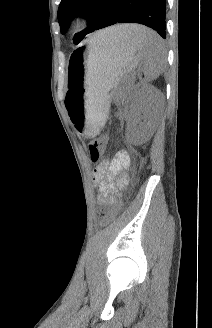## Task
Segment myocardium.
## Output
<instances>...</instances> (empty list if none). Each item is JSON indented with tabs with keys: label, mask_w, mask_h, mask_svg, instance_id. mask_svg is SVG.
I'll list each match as a JSON object with an SVG mask.
<instances>
[{
	"label": "myocardium",
	"mask_w": 212,
	"mask_h": 328,
	"mask_svg": "<svg viewBox=\"0 0 212 328\" xmlns=\"http://www.w3.org/2000/svg\"><path fill=\"white\" fill-rule=\"evenodd\" d=\"M89 15L87 13H79L76 15V17L73 20V25L75 29H79L86 25V23L89 21Z\"/></svg>",
	"instance_id": "f54148a6"
}]
</instances>
